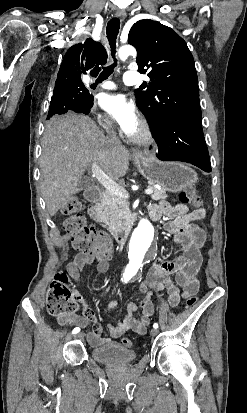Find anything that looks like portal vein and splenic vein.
Returning a JSON list of instances; mask_svg holds the SVG:
<instances>
[{
  "label": "portal vein and splenic vein",
  "instance_id": "obj_1",
  "mask_svg": "<svg viewBox=\"0 0 247 413\" xmlns=\"http://www.w3.org/2000/svg\"><path fill=\"white\" fill-rule=\"evenodd\" d=\"M91 170L93 172L92 176H95V178L105 186L108 192H111V194H120L123 198H129V192L125 190L124 186H120V184H117L115 180H112L108 174H105L100 166H98L97 162H92ZM145 192L146 194H152L154 190L153 188H146Z\"/></svg>",
  "mask_w": 247,
  "mask_h": 413
}]
</instances>
